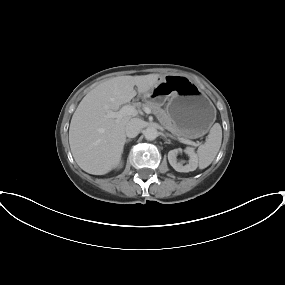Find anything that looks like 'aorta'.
<instances>
[{
  "label": "aorta",
  "instance_id": "762f6f07",
  "mask_svg": "<svg viewBox=\"0 0 285 285\" xmlns=\"http://www.w3.org/2000/svg\"><path fill=\"white\" fill-rule=\"evenodd\" d=\"M144 136L147 140H154L158 136V131L155 127H147L144 131Z\"/></svg>",
  "mask_w": 285,
  "mask_h": 285
}]
</instances>
